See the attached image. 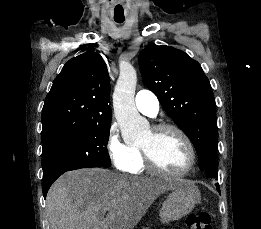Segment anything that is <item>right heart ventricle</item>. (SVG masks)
Segmentation results:
<instances>
[{
	"mask_svg": "<svg viewBox=\"0 0 261 229\" xmlns=\"http://www.w3.org/2000/svg\"><path fill=\"white\" fill-rule=\"evenodd\" d=\"M134 148H135V152H136V156H137V161H136V164H135L132 172L133 173H143L147 169V166L145 164L142 152L138 146H134Z\"/></svg>",
	"mask_w": 261,
	"mask_h": 229,
	"instance_id": "obj_1",
	"label": "right heart ventricle"
}]
</instances>
